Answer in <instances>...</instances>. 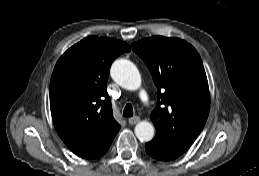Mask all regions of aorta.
Segmentation results:
<instances>
[{
	"label": "aorta",
	"mask_w": 259,
	"mask_h": 176,
	"mask_svg": "<svg viewBox=\"0 0 259 176\" xmlns=\"http://www.w3.org/2000/svg\"><path fill=\"white\" fill-rule=\"evenodd\" d=\"M111 77L120 86L128 90H137L141 86V76L137 67L127 59L116 60L110 70ZM136 137L143 142L153 139L154 126L147 121H141L135 126Z\"/></svg>",
	"instance_id": "1"
}]
</instances>
